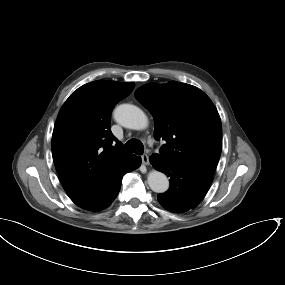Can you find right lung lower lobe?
<instances>
[{"label": "right lung lower lobe", "instance_id": "1", "mask_svg": "<svg viewBox=\"0 0 285 285\" xmlns=\"http://www.w3.org/2000/svg\"><path fill=\"white\" fill-rule=\"evenodd\" d=\"M141 164V158L135 156L128 166H126L111 182H109L101 193L89 203L81 206V208L89 211H100L108 206L115 200L117 197L121 181L124 174L138 168Z\"/></svg>", "mask_w": 285, "mask_h": 285}]
</instances>
